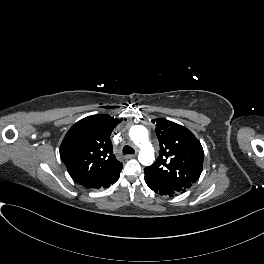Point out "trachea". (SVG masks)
I'll return each mask as SVG.
<instances>
[{
    "instance_id": "trachea-1",
    "label": "trachea",
    "mask_w": 264,
    "mask_h": 264,
    "mask_svg": "<svg viewBox=\"0 0 264 264\" xmlns=\"http://www.w3.org/2000/svg\"><path fill=\"white\" fill-rule=\"evenodd\" d=\"M134 153H135V150L132 147L128 145L123 147V154H134Z\"/></svg>"
}]
</instances>
